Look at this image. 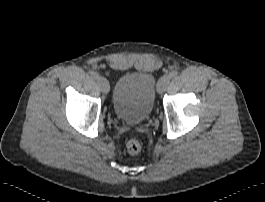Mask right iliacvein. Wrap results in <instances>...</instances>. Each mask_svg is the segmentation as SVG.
Returning a JSON list of instances; mask_svg holds the SVG:
<instances>
[{"instance_id":"63e3f726","label":"right iliac vein","mask_w":265,"mask_h":202,"mask_svg":"<svg viewBox=\"0 0 265 202\" xmlns=\"http://www.w3.org/2000/svg\"><path fill=\"white\" fill-rule=\"evenodd\" d=\"M97 84L103 93H108L109 83L104 77L99 76L97 78Z\"/></svg>"}]
</instances>
